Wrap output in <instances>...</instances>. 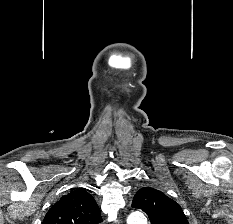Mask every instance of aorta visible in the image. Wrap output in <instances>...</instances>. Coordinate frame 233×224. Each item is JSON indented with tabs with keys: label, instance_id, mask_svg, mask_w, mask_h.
I'll list each match as a JSON object with an SVG mask.
<instances>
[{
	"label": "aorta",
	"instance_id": "1",
	"mask_svg": "<svg viewBox=\"0 0 233 224\" xmlns=\"http://www.w3.org/2000/svg\"><path fill=\"white\" fill-rule=\"evenodd\" d=\"M127 224H147V220L141 212H133L128 216Z\"/></svg>",
	"mask_w": 233,
	"mask_h": 224
}]
</instances>
